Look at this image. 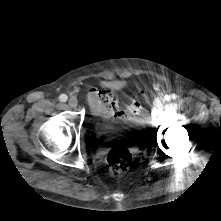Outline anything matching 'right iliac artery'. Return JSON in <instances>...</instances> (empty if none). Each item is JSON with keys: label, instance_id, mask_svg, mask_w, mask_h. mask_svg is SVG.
Wrapping results in <instances>:
<instances>
[{"label": "right iliac artery", "instance_id": "right-iliac-artery-1", "mask_svg": "<svg viewBox=\"0 0 221 221\" xmlns=\"http://www.w3.org/2000/svg\"><path fill=\"white\" fill-rule=\"evenodd\" d=\"M67 99H68V97H67V95H65V94H61V95L59 96V100H60L61 102H66Z\"/></svg>", "mask_w": 221, "mask_h": 221}]
</instances>
